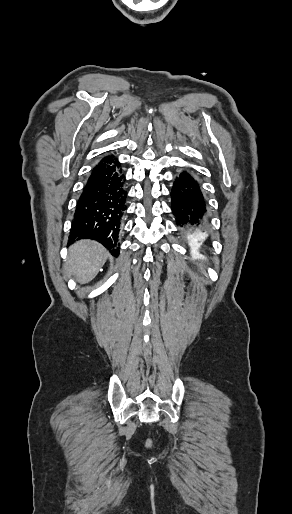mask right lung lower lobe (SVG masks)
<instances>
[{
  "instance_id": "1",
  "label": "right lung lower lobe",
  "mask_w": 292,
  "mask_h": 514,
  "mask_svg": "<svg viewBox=\"0 0 292 514\" xmlns=\"http://www.w3.org/2000/svg\"><path fill=\"white\" fill-rule=\"evenodd\" d=\"M127 188L121 164L112 156L92 169L77 201L69 244L94 239L118 256V234L127 209Z\"/></svg>"
}]
</instances>
